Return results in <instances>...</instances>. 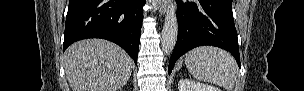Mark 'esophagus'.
Wrapping results in <instances>:
<instances>
[{
  "label": "esophagus",
  "mask_w": 304,
  "mask_h": 91,
  "mask_svg": "<svg viewBox=\"0 0 304 91\" xmlns=\"http://www.w3.org/2000/svg\"><path fill=\"white\" fill-rule=\"evenodd\" d=\"M153 2L156 4L159 13L161 15H163L166 11L167 1L166 0H154Z\"/></svg>",
  "instance_id": "esophagus-1"
}]
</instances>
